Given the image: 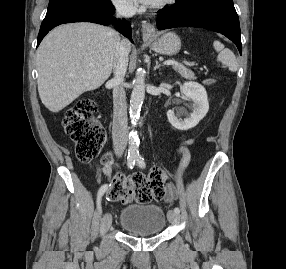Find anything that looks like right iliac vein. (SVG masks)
Segmentation results:
<instances>
[{
    "label": "right iliac vein",
    "instance_id": "63e3f726",
    "mask_svg": "<svg viewBox=\"0 0 286 269\" xmlns=\"http://www.w3.org/2000/svg\"><path fill=\"white\" fill-rule=\"evenodd\" d=\"M112 224V215L110 213H105L101 222V233L106 232Z\"/></svg>",
    "mask_w": 286,
    "mask_h": 269
}]
</instances>
